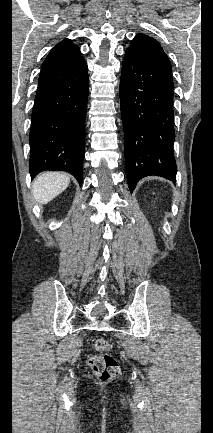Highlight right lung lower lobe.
I'll list each match as a JSON object with an SVG mask.
<instances>
[{"label":"right lung lower lobe","mask_w":213,"mask_h":433,"mask_svg":"<svg viewBox=\"0 0 213 433\" xmlns=\"http://www.w3.org/2000/svg\"><path fill=\"white\" fill-rule=\"evenodd\" d=\"M88 89L83 58L42 67L29 136L32 178L62 170L82 183Z\"/></svg>","instance_id":"1"}]
</instances>
